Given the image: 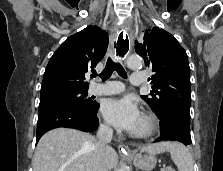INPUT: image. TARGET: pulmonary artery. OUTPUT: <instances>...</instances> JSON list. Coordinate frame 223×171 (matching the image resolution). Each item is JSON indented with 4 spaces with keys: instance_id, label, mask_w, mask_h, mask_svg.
<instances>
[{
    "instance_id": "1",
    "label": "pulmonary artery",
    "mask_w": 223,
    "mask_h": 171,
    "mask_svg": "<svg viewBox=\"0 0 223 171\" xmlns=\"http://www.w3.org/2000/svg\"><path fill=\"white\" fill-rule=\"evenodd\" d=\"M130 81L133 85H141L144 82L142 72H134L131 75ZM124 90V85L119 81H108L106 83H97L91 85L89 92L92 95H113L121 93Z\"/></svg>"
}]
</instances>
